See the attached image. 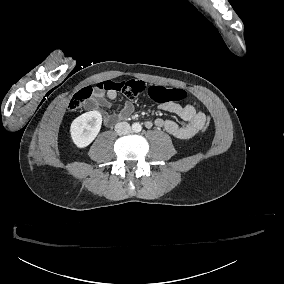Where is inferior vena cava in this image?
I'll use <instances>...</instances> for the list:
<instances>
[{"label":"inferior vena cava","mask_w":284,"mask_h":284,"mask_svg":"<svg viewBox=\"0 0 284 284\" xmlns=\"http://www.w3.org/2000/svg\"><path fill=\"white\" fill-rule=\"evenodd\" d=\"M115 131L119 135L129 134L131 132V127L128 122H119L115 125Z\"/></svg>","instance_id":"obj_1"}]
</instances>
